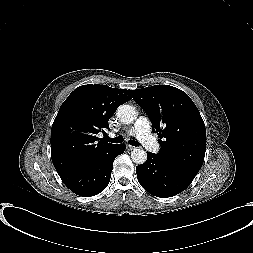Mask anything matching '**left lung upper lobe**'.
Here are the masks:
<instances>
[{"label": "left lung upper lobe", "instance_id": "1", "mask_svg": "<svg viewBox=\"0 0 253 253\" xmlns=\"http://www.w3.org/2000/svg\"><path fill=\"white\" fill-rule=\"evenodd\" d=\"M130 92L147 113L153 132L160 137L161 149L156 156L196 175L204 161L206 129L191 98L169 85H155Z\"/></svg>", "mask_w": 253, "mask_h": 253}]
</instances>
